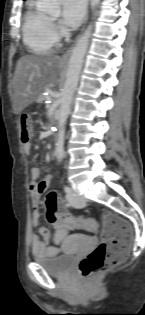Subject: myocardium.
<instances>
[{"mask_svg": "<svg viewBox=\"0 0 145 315\" xmlns=\"http://www.w3.org/2000/svg\"><path fill=\"white\" fill-rule=\"evenodd\" d=\"M50 22H51V24H52V26H53L54 33H55L56 37L59 38V36L61 35V33H60V31H59V29H58V27H57L56 21L50 18Z\"/></svg>", "mask_w": 145, "mask_h": 315, "instance_id": "obj_1", "label": "myocardium"}]
</instances>
